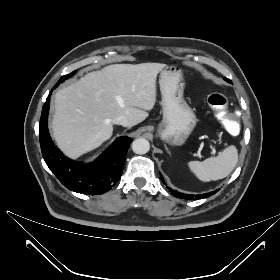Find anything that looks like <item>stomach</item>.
I'll return each instance as SVG.
<instances>
[{
	"label": "stomach",
	"instance_id": "1",
	"mask_svg": "<svg viewBox=\"0 0 280 280\" xmlns=\"http://www.w3.org/2000/svg\"><path fill=\"white\" fill-rule=\"evenodd\" d=\"M159 85L163 119L158 126V135L170 145H182L197 123L194 111L184 99L183 69L179 65L165 67L161 70Z\"/></svg>",
	"mask_w": 280,
	"mask_h": 280
}]
</instances>
